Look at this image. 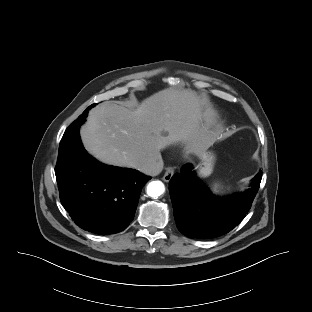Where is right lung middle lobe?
I'll use <instances>...</instances> for the list:
<instances>
[{"label":"right lung middle lobe","instance_id":"1","mask_svg":"<svg viewBox=\"0 0 312 312\" xmlns=\"http://www.w3.org/2000/svg\"><path fill=\"white\" fill-rule=\"evenodd\" d=\"M96 104H93L89 106L65 131L64 136L60 142V148L59 152L62 151L64 148H66L72 139H74L78 132L80 125L86 120V117L88 115V110L95 106Z\"/></svg>","mask_w":312,"mask_h":312}]
</instances>
